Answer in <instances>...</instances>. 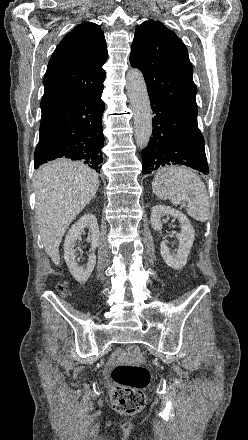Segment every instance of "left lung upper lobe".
<instances>
[{"mask_svg": "<svg viewBox=\"0 0 248 440\" xmlns=\"http://www.w3.org/2000/svg\"><path fill=\"white\" fill-rule=\"evenodd\" d=\"M130 63L144 75L149 96L163 101L197 123V89L186 46L159 21L149 20L136 28Z\"/></svg>", "mask_w": 248, "mask_h": 440, "instance_id": "left-lung-upper-lobe-1", "label": "left lung upper lobe"}]
</instances>
